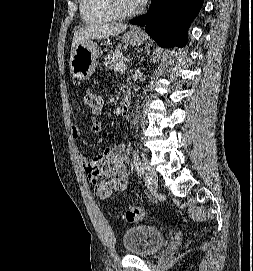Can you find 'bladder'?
<instances>
[{"mask_svg":"<svg viewBox=\"0 0 253 271\" xmlns=\"http://www.w3.org/2000/svg\"><path fill=\"white\" fill-rule=\"evenodd\" d=\"M165 243L162 231L139 224L127 229L122 235L124 250L134 257H149L160 250Z\"/></svg>","mask_w":253,"mask_h":271,"instance_id":"bladder-1","label":"bladder"}]
</instances>
